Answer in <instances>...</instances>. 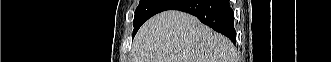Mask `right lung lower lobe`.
Segmentation results:
<instances>
[{
	"label": "right lung lower lobe",
	"mask_w": 331,
	"mask_h": 62,
	"mask_svg": "<svg viewBox=\"0 0 331 62\" xmlns=\"http://www.w3.org/2000/svg\"><path fill=\"white\" fill-rule=\"evenodd\" d=\"M165 10L192 14L202 23L228 37L234 44L236 42L234 15L229 0H172L162 11Z\"/></svg>",
	"instance_id": "obj_1"
}]
</instances>
